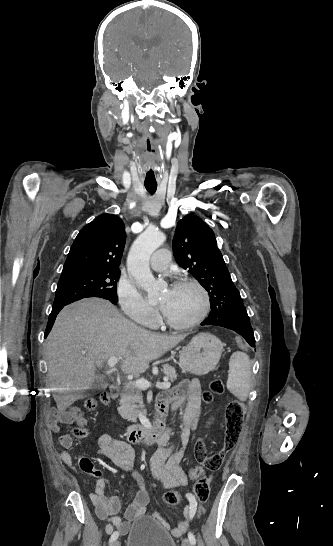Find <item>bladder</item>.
<instances>
[{"label": "bladder", "mask_w": 333, "mask_h": 546, "mask_svg": "<svg viewBox=\"0 0 333 546\" xmlns=\"http://www.w3.org/2000/svg\"><path fill=\"white\" fill-rule=\"evenodd\" d=\"M127 546H177L174 538L153 517L143 516L128 527Z\"/></svg>", "instance_id": "31cf9c89"}]
</instances>
